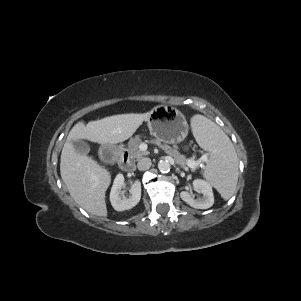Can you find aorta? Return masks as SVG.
<instances>
[{
  "instance_id": "762f6f07",
  "label": "aorta",
  "mask_w": 301,
  "mask_h": 301,
  "mask_svg": "<svg viewBox=\"0 0 301 301\" xmlns=\"http://www.w3.org/2000/svg\"><path fill=\"white\" fill-rule=\"evenodd\" d=\"M171 165L167 160H160L158 163V169L162 173H168L170 171Z\"/></svg>"
}]
</instances>
